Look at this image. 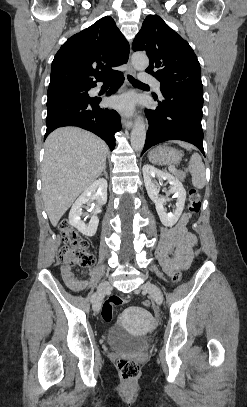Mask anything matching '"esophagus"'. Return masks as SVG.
I'll return each mask as SVG.
<instances>
[{"label": "esophagus", "mask_w": 247, "mask_h": 407, "mask_svg": "<svg viewBox=\"0 0 247 407\" xmlns=\"http://www.w3.org/2000/svg\"><path fill=\"white\" fill-rule=\"evenodd\" d=\"M128 74H130V75H135L136 74V71L134 70V68L131 65L130 59L128 60ZM122 124L127 129H131L132 126H133V122L129 118H123L122 119Z\"/></svg>", "instance_id": "obj_1"}]
</instances>
